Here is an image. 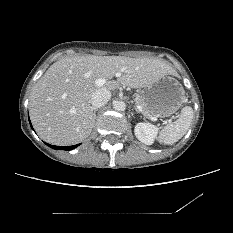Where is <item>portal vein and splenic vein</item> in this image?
Returning a JSON list of instances; mask_svg holds the SVG:
<instances>
[{"label": "portal vein and splenic vein", "instance_id": "portal-vein-and-splenic-vein-1", "mask_svg": "<svg viewBox=\"0 0 233 233\" xmlns=\"http://www.w3.org/2000/svg\"><path fill=\"white\" fill-rule=\"evenodd\" d=\"M105 83H106V79H103V78H99V79L95 80V84L98 87L103 86ZM137 109L139 110V112H141L145 116V114H144L141 106L137 105ZM148 118H150L152 121H156L157 120L156 117H152V116H148Z\"/></svg>", "mask_w": 233, "mask_h": 233}]
</instances>
